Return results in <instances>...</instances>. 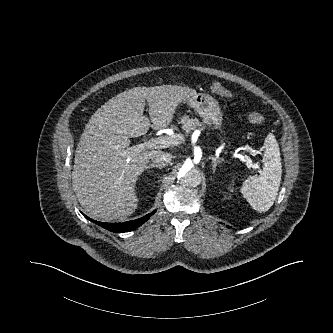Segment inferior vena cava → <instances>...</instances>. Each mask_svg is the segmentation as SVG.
<instances>
[{
	"label": "inferior vena cava",
	"mask_w": 333,
	"mask_h": 333,
	"mask_svg": "<svg viewBox=\"0 0 333 333\" xmlns=\"http://www.w3.org/2000/svg\"><path fill=\"white\" fill-rule=\"evenodd\" d=\"M151 159L158 164L165 165L171 162L172 155L170 153L159 152L154 154Z\"/></svg>",
	"instance_id": "obj_1"
}]
</instances>
